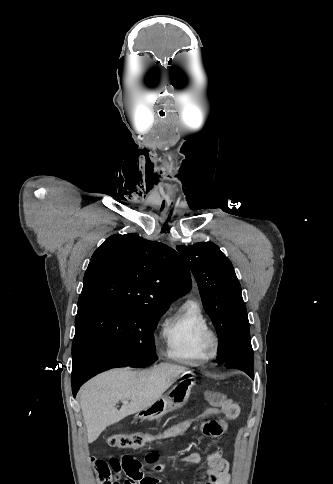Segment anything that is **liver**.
<instances>
[{
	"instance_id": "liver-1",
	"label": "liver",
	"mask_w": 333,
	"mask_h": 484,
	"mask_svg": "<svg viewBox=\"0 0 333 484\" xmlns=\"http://www.w3.org/2000/svg\"><path fill=\"white\" fill-rule=\"evenodd\" d=\"M187 368L160 363L151 369H113L85 383L79 394L88 440L95 441L106 427L151 407ZM127 401L120 410L118 401ZM130 401V402H128Z\"/></svg>"
}]
</instances>
